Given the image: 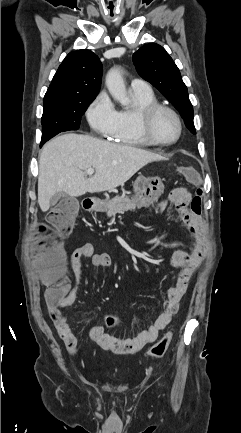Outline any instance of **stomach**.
Instances as JSON below:
<instances>
[{"label": "stomach", "mask_w": 241, "mask_h": 433, "mask_svg": "<svg viewBox=\"0 0 241 433\" xmlns=\"http://www.w3.org/2000/svg\"><path fill=\"white\" fill-rule=\"evenodd\" d=\"M164 184L160 177H145L140 175L134 183L135 196L133 200L145 206L155 202L164 192ZM109 200L103 202L94 201L97 209L103 208Z\"/></svg>", "instance_id": "1"}]
</instances>
